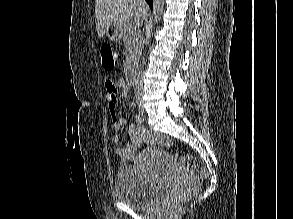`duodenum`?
<instances>
[{"mask_svg": "<svg viewBox=\"0 0 293 219\" xmlns=\"http://www.w3.org/2000/svg\"><path fill=\"white\" fill-rule=\"evenodd\" d=\"M127 80L131 85H135V75H134V70L130 66L127 71Z\"/></svg>", "mask_w": 293, "mask_h": 219, "instance_id": "1", "label": "duodenum"}]
</instances>
